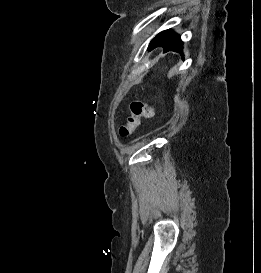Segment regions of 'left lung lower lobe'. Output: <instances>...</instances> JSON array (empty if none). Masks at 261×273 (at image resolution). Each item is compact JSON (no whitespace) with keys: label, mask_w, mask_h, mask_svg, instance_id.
Instances as JSON below:
<instances>
[{"label":"left lung lower lobe","mask_w":261,"mask_h":273,"mask_svg":"<svg viewBox=\"0 0 261 273\" xmlns=\"http://www.w3.org/2000/svg\"><path fill=\"white\" fill-rule=\"evenodd\" d=\"M158 46L164 47V52H182V41L180 37L170 29L156 35L150 42L148 49L152 50Z\"/></svg>","instance_id":"1"}]
</instances>
